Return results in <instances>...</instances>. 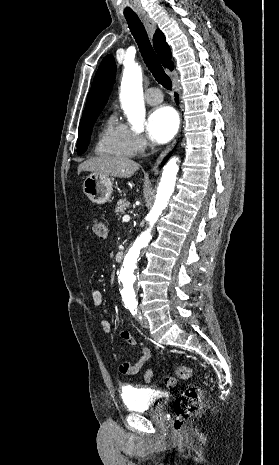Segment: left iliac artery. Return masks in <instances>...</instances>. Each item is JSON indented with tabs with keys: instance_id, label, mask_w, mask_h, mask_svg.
Listing matches in <instances>:
<instances>
[{
	"instance_id": "obj_1",
	"label": "left iliac artery",
	"mask_w": 279,
	"mask_h": 465,
	"mask_svg": "<svg viewBox=\"0 0 279 465\" xmlns=\"http://www.w3.org/2000/svg\"><path fill=\"white\" fill-rule=\"evenodd\" d=\"M128 308L133 315L137 314V304H131L128 306Z\"/></svg>"
}]
</instances>
